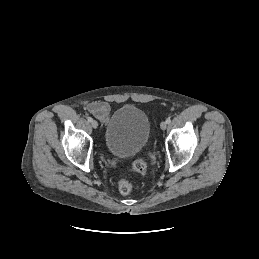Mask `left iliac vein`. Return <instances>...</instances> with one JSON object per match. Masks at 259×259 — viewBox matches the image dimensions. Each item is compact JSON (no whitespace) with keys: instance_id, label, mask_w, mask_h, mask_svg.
<instances>
[{"instance_id":"left-iliac-vein-1","label":"left iliac vein","mask_w":259,"mask_h":259,"mask_svg":"<svg viewBox=\"0 0 259 259\" xmlns=\"http://www.w3.org/2000/svg\"><path fill=\"white\" fill-rule=\"evenodd\" d=\"M160 128H161L162 130H165V129L167 128V123H166V121L161 122Z\"/></svg>"}]
</instances>
